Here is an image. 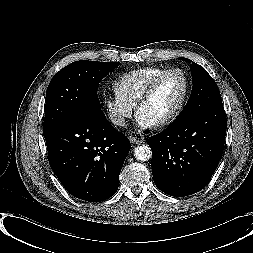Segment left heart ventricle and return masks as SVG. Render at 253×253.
Segmentation results:
<instances>
[{
	"label": "left heart ventricle",
	"instance_id": "1",
	"mask_svg": "<svg viewBox=\"0 0 253 253\" xmlns=\"http://www.w3.org/2000/svg\"><path fill=\"white\" fill-rule=\"evenodd\" d=\"M183 93L182 78L177 74H171L162 80L151 99L139 110L138 114L155 124L177 108Z\"/></svg>",
	"mask_w": 253,
	"mask_h": 253
}]
</instances>
